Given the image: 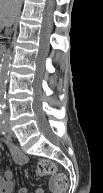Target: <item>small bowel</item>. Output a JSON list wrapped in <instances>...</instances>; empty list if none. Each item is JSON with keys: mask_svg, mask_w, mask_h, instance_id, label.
<instances>
[{"mask_svg": "<svg viewBox=\"0 0 103 193\" xmlns=\"http://www.w3.org/2000/svg\"><path fill=\"white\" fill-rule=\"evenodd\" d=\"M11 154L14 160L19 164H25L27 162V156L14 145H9ZM14 173L12 170H5L3 176L0 179V192L1 193H13L14 184H13ZM51 190L49 193H61V191L55 186L54 182H50ZM17 193H30L29 189H20ZM36 193H43L41 190H37Z\"/></svg>", "mask_w": 103, "mask_h": 193, "instance_id": "1", "label": "small bowel"}]
</instances>
